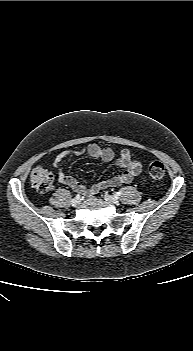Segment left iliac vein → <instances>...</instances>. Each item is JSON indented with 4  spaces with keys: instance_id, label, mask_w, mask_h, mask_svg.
I'll list each match as a JSON object with an SVG mask.
<instances>
[{
    "instance_id": "left-iliac-vein-1",
    "label": "left iliac vein",
    "mask_w": 193,
    "mask_h": 351,
    "mask_svg": "<svg viewBox=\"0 0 193 351\" xmlns=\"http://www.w3.org/2000/svg\"><path fill=\"white\" fill-rule=\"evenodd\" d=\"M104 200L110 204H115V205L119 204V201L117 200V198L109 194L104 195Z\"/></svg>"
}]
</instances>
